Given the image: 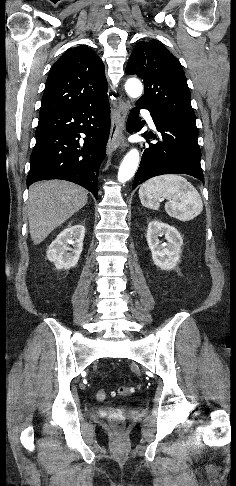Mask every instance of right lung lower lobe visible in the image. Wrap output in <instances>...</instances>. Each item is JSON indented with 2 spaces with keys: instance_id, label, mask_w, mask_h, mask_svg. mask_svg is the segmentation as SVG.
Here are the masks:
<instances>
[{
  "instance_id": "1",
  "label": "right lung lower lobe",
  "mask_w": 236,
  "mask_h": 486,
  "mask_svg": "<svg viewBox=\"0 0 236 486\" xmlns=\"http://www.w3.org/2000/svg\"><path fill=\"white\" fill-rule=\"evenodd\" d=\"M110 131L108 100L39 117L30 157L27 186L63 179L98 197V169L105 158ZM81 134L85 135L83 141Z\"/></svg>"
}]
</instances>
